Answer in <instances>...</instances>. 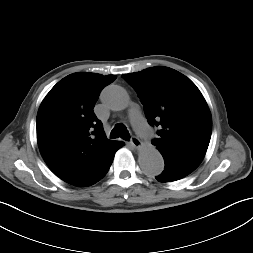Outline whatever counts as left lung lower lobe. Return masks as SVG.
I'll use <instances>...</instances> for the list:
<instances>
[{
    "label": "left lung lower lobe",
    "instance_id": "left-lung-lower-lobe-1",
    "mask_svg": "<svg viewBox=\"0 0 253 253\" xmlns=\"http://www.w3.org/2000/svg\"><path fill=\"white\" fill-rule=\"evenodd\" d=\"M164 162V171L156 177V179L160 182H171L179 180L190 174L199 165L191 161L177 160L171 158H164Z\"/></svg>",
    "mask_w": 253,
    "mask_h": 253
}]
</instances>
